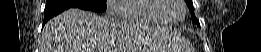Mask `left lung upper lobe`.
I'll use <instances>...</instances> for the list:
<instances>
[{"label":"left lung upper lobe","instance_id":"obj_1","mask_svg":"<svg viewBox=\"0 0 261 52\" xmlns=\"http://www.w3.org/2000/svg\"><path fill=\"white\" fill-rule=\"evenodd\" d=\"M185 1H186V3H187V6L190 8L192 20H193L198 26H200L199 21L197 20V18H196L195 15H194V12L192 11V8H193L192 0H185Z\"/></svg>","mask_w":261,"mask_h":52}]
</instances>
